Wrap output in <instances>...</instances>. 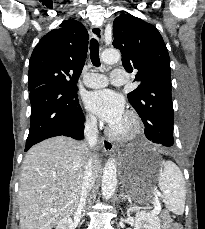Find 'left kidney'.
<instances>
[{
  "label": "left kidney",
  "instance_id": "obj_1",
  "mask_svg": "<svg viewBox=\"0 0 205 229\" xmlns=\"http://www.w3.org/2000/svg\"><path fill=\"white\" fill-rule=\"evenodd\" d=\"M133 210L136 211L134 229H160V220L154 213L140 211L137 206L128 209V212Z\"/></svg>",
  "mask_w": 205,
  "mask_h": 229
}]
</instances>
